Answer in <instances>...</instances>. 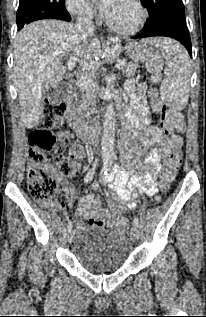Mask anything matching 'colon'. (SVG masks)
<instances>
[{"instance_id": "1", "label": "colon", "mask_w": 206, "mask_h": 317, "mask_svg": "<svg viewBox=\"0 0 206 317\" xmlns=\"http://www.w3.org/2000/svg\"><path fill=\"white\" fill-rule=\"evenodd\" d=\"M148 68L155 73L154 80H159L158 72L161 68L159 57H152L147 61ZM162 125L167 133L183 132L185 120L182 113L166 109L162 106ZM44 119L40 122L28 137V190L33 199L37 201L51 200L57 192L58 181L52 174V163L56 164L64 176H71L75 172L72 160H66L63 156L64 146L69 140V133L59 131L66 117V106L48 105L44 109ZM51 153V157L49 154ZM181 163V152L174 150L166 159L161 173V186L167 189L173 181ZM111 227L117 231H125L127 222L122 218H116L111 222Z\"/></svg>"}]
</instances>
